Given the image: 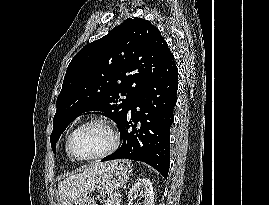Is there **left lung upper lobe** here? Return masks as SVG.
Wrapping results in <instances>:
<instances>
[{
	"label": "left lung upper lobe",
	"mask_w": 269,
	"mask_h": 205,
	"mask_svg": "<svg viewBox=\"0 0 269 205\" xmlns=\"http://www.w3.org/2000/svg\"><path fill=\"white\" fill-rule=\"evenodd\" d=\"M170 54L160 31L137 17L83 47L71 60L57 98L50 136L53 152L66 127L84 112L102 111L120 126Z\"/></svg>",
	"instance_id": "1"
}]
</instances>
